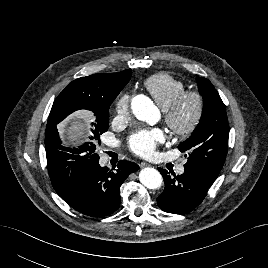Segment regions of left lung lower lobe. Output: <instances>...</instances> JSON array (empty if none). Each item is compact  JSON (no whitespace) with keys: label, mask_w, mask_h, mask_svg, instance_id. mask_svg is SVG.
<instances>
[{"label":"left lung lower lobe","mask_w":268,"mask_h":268,"mask_svg":"<svg viewBox=\"0 0 268 268\" xmlns=\"http://www.w3.org/2000/svg\"><path fill=\"white\" fill-rule=\"evenodd\" d=\"M165 180V189L158 196L159 207L169 213L183 214L192 211L205 198L208 188L215 180L204 173L185 167L181 175L171 176L167 170L158 168Z\"/></svg>","instance_id":"1"}]
</instances>
